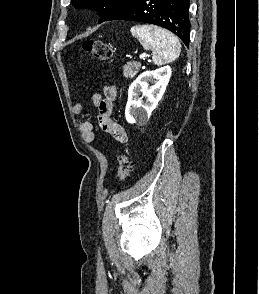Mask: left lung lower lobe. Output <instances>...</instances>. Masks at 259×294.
<instances>
[{
	"mask_svg": "<svg viewBox=\"0 0 259 294\" xmlns=\"http://www.w3.org/2000/svg\"><path fill=\"white\" fill-rule=\"evenodd\" d=\"M189 2V0H128L104 21H139L162 26L175 33L188 47Z\"/></svg>",
	"mask_w": 259,
	"mask_h": 294,
	"instance_id": "left-lung-lower-lobe-1",
	"label": "left lung lower lobe"
}]
</instances>
